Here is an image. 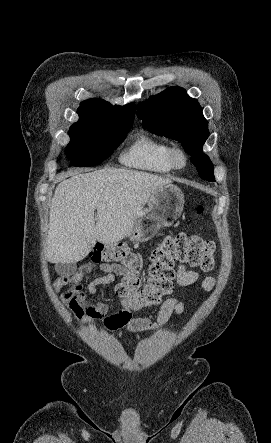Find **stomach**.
I'll use <instances>...</instances> for the list:
<instances>
[{"label":"stomach","instance_id":"obj_1","mask_svg":"<svg viewBox=\"0 0 271 443\" xmlns=\"http://www.w3.org/2000/svg\"><path fill=\"white\" fill-rule=\"evenodd\" d=\"M184 196L177 186H161L147 202V210L133 223L131 241H148L161 227L173 225L183 212Z\"/></svg>","mask_w":271,"mask_h":443}]
</instances>
